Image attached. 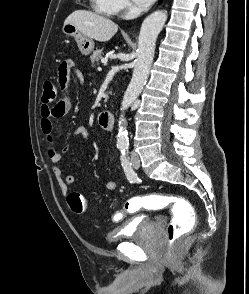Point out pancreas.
<instances>
[{"mask_svg":"<svg viewBox=\"0 0 249 294\" xmlns=\"http://www.w3.org/2000/svg\"><path fill=\"white\" fill-rule=\"evenodd\" d=\"M103 52L102 50H95L93 54L90 56V61L92 64L99 62L103 58ZM107 99L105 100V102Z\"/></svg>","mask_w":249,"mask_h":294,"instance_id":"pancreas-1","label":"pancreas"}]
</instances>
